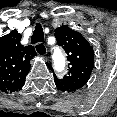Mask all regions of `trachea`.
<instances>
[{"label":"trachea","mask_w":117,"mask_h":117,"mask_svg":"<svg viewBox=\"0 0 117 117\" xmlns=\"http://www.w3.org/2000/svg\"><path fill=\"white\" fill-rule=\"evenodd\" d=\"M44 40V33L43 29L41 27V24H36L35 30L33 32V35L31 37V43L36 44V43H41ZM40 45L36 46L37 51H39Z\"/></svg>","instance_id":"obj_1"}]
</instances>
